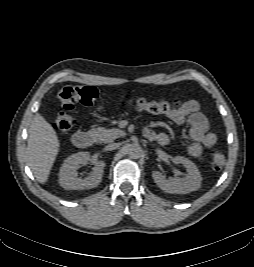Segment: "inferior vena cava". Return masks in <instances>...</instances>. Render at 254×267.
<instances>
[{
	"mask_svg": "<svg viewBox=\"0 0 254 267\" xmlns=\"http://www.w3.org/2000/svg\"><path fill=\"white\" fill-rule=\"evenodd\" d=\"M117 147H118V144H116V143L109 144L106 146V150L111 151V150L116 149Z\"/></svg>",
	"mask_w": 254,
	"mask_h": 267,
	"instance_id": "inferior-vena-cava-1",
	"label": "inferior vena cava"
}]
</instances>
